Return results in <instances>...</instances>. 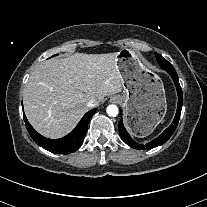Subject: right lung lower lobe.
Segmentation results:
<instances>
[{"label": "right lung lower lobe", "mask_w": 207, "mask_h": 207, "mask_svg": "<svg viewBox=\"0 0 207 207\" xmlns=\"http://www.w3.org/2000/svg\"><path fill=\"white\" fill-rule=\"evenodd\" d=\"M95 111L96 109H92L87 112L72 132L63 138L55 140L45 138L36 132L26 119L25 115L24 121L30 136L36 144L52 153L68 154L75 152L81 146L87 133L88 122Z\"/></svg>", "instance_id": "1"}]
</instances>
